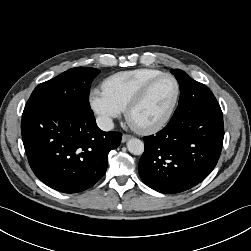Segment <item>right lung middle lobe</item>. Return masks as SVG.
<instances>
[{
    "label": "right lung middle lobe",
    "mask_w": 251,
    "mask_h": 251,
    "mask_svg": "<svg viewBox=\"0 0 251 251\" xmlns=\"http://www.w3.org/2000/svg\"><path fill=\"white\" fill-rule=\"evenodd\" d=\"M99 73V70L92 67L69 69L57 77L39 84L28 101H43L72 110H91L90 86Z\"/></svg>",
    "instance_id": "1"
}]
</instances>
